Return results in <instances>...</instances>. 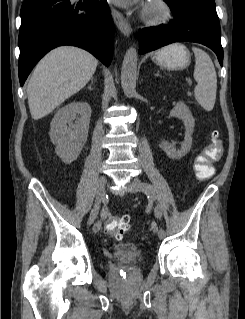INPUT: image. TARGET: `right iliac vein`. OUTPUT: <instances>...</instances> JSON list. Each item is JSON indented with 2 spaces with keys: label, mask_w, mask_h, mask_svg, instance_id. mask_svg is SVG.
Here are the masks:
<instances>
[{
  "label": "right iliac vein",
  "mask_w": 245,
  "mask_h": 319,
  "mask_svg": "<svg viewBox=\"0 0 245 319\" xmlns=\"http://www.w3.org/2000/svg\"><path fill=\"white\" fill-rule=\"evenodd\" d=\"M107 179L105 176H101L98 180V187H97V196H96V202L95 205L90 213L89 219H88V224L92 225L94 220L97 217L99 208L102 203L105 201V186H106ZM99 223H96L93 226V231L97 232V226Z\"/></svg>",
  "instance_id": "right-iliac-vein-1"
}]
</instances>
